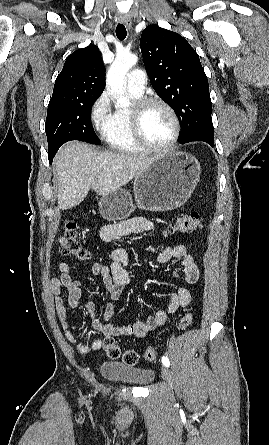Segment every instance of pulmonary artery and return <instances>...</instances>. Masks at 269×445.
I'll return each mask as SVG.
<instances>
[{
    "mask_svg": "<svg viewBox=\"0 0 269 445\" xmlns=\"http://www.w3.org/2000/svg\"><path fill=\"white\" fill-rule=\"evenodd\" d=\"M146 84L145 72L141 69L132 70L126 77L124 86L128 92L141 96Z\"/></svg>",
    "mask_w": 269,
    "mask_h": 445,
    "instance_id": "e3ab8cb5",
    "label": "pulmonary artery"
}]
</instances>
